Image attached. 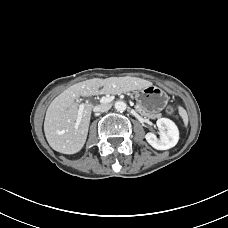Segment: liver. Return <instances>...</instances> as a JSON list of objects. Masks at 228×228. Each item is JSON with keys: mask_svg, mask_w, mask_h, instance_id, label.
Here are the masks:
<instances>
[{"mask_svg": "<svg viewBox=\"0 0 228 228\" xmlns=\"http://www.w3.org/2000/svg\"><path fill=\"white\" fill-rule=\"evenodd\" d=\"M150 85L152 82L137 77H109L89 79L70 86L51 102L46 111L44 133L49 145L63 154H75L83 148L93 104H84L82 119L77 125L80 96L88 97L98 93L117 94ZM100 87L103 89L99 90Z\"/></svg>", "mask_w": 228, "mask_h": 228, "instance_id": "liver-1", "label": "liver"}]
</instances>
